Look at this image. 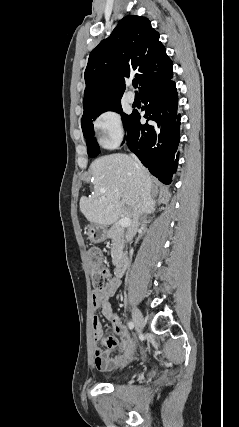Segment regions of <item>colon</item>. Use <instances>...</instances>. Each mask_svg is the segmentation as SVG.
Returning <instances> with one entry per match:
<instances>
[{
    "label": "colon",
    "mask_w": 239,
    "mask_h": 427,
    "mask_svg": "<svg viewBox=\"0 0 239 427\" xmlns=\"http://www.w3.org/2000/svg\"><path fill=\"white\" fill-rule=\"evenodd\" d=\"M87 262L94 288L103 287L110 275V271L104 263L103 254L98 247L91 246L87 249Z\"/></svg>",
    "instance_id": "colon-1"
}]
</instances>
